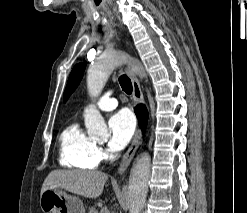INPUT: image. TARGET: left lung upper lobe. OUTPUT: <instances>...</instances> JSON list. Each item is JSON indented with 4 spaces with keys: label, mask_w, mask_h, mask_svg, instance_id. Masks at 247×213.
I'll return each instance as SVG.
<instances>
[{
    "label": "left lung upper lobe",
    "mask_w": 247,
    "mask_h": 213,
    "mask_svg": "<svg viewBox=\"0 0 247 213\" xmlns=\"http://www.w3.org/2000/svg\"><path fill=\"white\" fill-rule=\"evenodd\" d=\"M85 66H86L85 63H79L72 69L70 76H69V79H68V83H67L65 92H64V95H63L64 102L67 101L69 96L73 93V91L78 86V84H79V82L83 76Z\"/></svg>",
    "instance_id": "5c2ea615"
}]
</instances>
